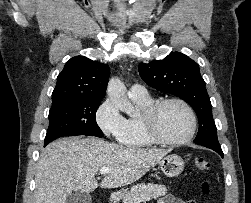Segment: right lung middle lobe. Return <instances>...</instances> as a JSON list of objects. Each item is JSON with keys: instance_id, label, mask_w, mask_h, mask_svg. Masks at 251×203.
Masks as SVG:
<instances>
[{"instance_id": "dd1d6c3e", "label": "right lung middle lobe", "mask_w": 251, "mask_h": 203, "mask_svg": "<svg viewBox=\"0 0 251 203\" xmlns=\"http://www.w3.org/2000/svg\"><path fill=\"white\" fill-rule=\"evenodd\" d=\"M101 100H77L51 107L44 146L62 136H96L104 134L95 119Z\"/></svg>"}]
</instances>
